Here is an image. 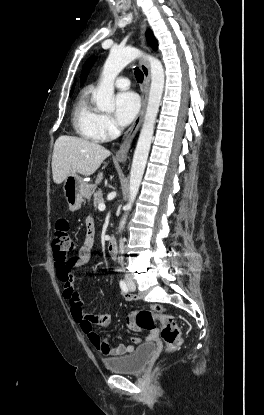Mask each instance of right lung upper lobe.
Wrapping results in <instances>:
<instances>
[{
  "mask_svg": "<svg viewBox=\"0 0 264 415\" xmlns=\"http://www.w3.org/2000/svg\"><path fill=\"white\" fill-rule=\"evenodd\" d=\"M72 92H73V88H72V90H71V93H70V94H72Z\"/></svg>",
  "mask_w": 264,
  "mask_h": 415,
  "instance_id": "1",
  "label": "right lung upper lobe"
}]
</instances>
